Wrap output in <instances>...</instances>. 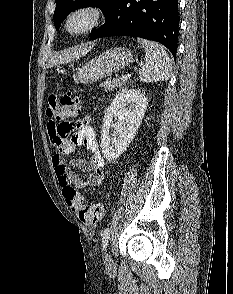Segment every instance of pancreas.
Masks as SVG:
<instances>
[{
    "label": "pancreas",
    "instance_id": "1",
    "mask_svg": "<svg viewBox=\"0 0 233 294\" xmlns=\"http://www.w3.org/2000/svg\"><path fill=\"white\" fill-rule=\"evenodd\" d=\"M126 82L121 79H107L105 82L101 84L104 88V91L113 90L114 88L122 87Z\"/></svg>",
    "mask_w": 233,
    "mask_h": 294
}]
</instances>
